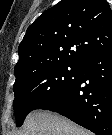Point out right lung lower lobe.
Wrapping results in <instances>:
<instances>
[{"label": "right lung lower lobe", "mask_w": 112, "mask_h": 135, "mask_svg": "<svg viewBox=\"0 0 112 135\" xmlns=\"http://www.w3.org/2000/svg\"><path fill=\"white\" fill-rule=\"evenodd\" d=\"M38 109L57 112L96 135H112V49L83 60L74 85Z\"/></svg>", "instance_id": "obj_1"}]
</instances>
